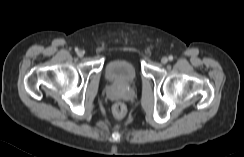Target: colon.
I'll use <instances>...</instances> for the list:
<instances>
[{"mask_svg": "<svg viewBox=\"0 0 244 157\" xmlns=\"http://www.w3.org/2000/svg\"><path fill=\"white\" fill-rule=\"evenodd\" d=\"M112 112H113V115L117 119L123 118L125 116V114H126V106H125V104L122 103V102H116L113 105Z\"/></svg>", "mask_w": 244, "mask_h": 157, "instance_id": "colon-1", "label": "colon"}]
</instances>
